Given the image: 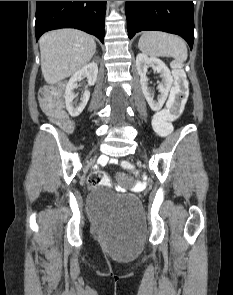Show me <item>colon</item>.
Masks as SVG:
<instances>
[{"label": "colon", "mask_w": 233, "mask_h": 295, "mask_svg": "<svg viewBox=\"0 0 233 295\" xmlns=\"http://www.w3.org/2000/svg\"><path fill=\"white\" fill-rule=\"evenodd\" d=\"M174 84L165 108L159 110L153 119L155 131L163 136L172 135V122L175 121L183 111L189 95V84L184 70L175 64L173 68ZM64 89L62 84H53L45 88L40 95V103L43 111L48 117L63 129L69 131L72 123L61 100ZM122 166L128 171L137 174L136 167L129 161H122ZM89 187L110 186L107 175L101 170H94L88 176Z\"/></svg>", "instance_id": "obj_1"}]
</instances>
